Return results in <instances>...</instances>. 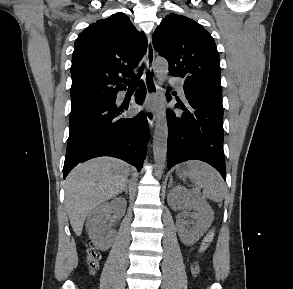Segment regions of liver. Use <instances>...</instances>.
<instances>
[{
    "instance_id": "1",
    "label": "liver",
    "mask_w": 293,
    "mask_h": 289,
    "mask_svg": "<svg viewBox=\"0 0 293 289\" xmlns=\"http://www.w3.org/2000/svg\"><path fill=\"white\" fill-rule=\"evenodd\" d=\"M132 171L121 160L102 157L79 164L70 172L65 182V208L77 236L89 212L120 194Z\"/></svg>"
}]
</instances>
